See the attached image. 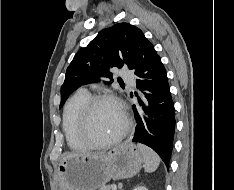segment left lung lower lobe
<instances>
[{"label": "left lung lower lobe", "instance_id": "obj_1", "mask_svg": "<svg viewBox=\"0 0 234 190\" xmlns=\"http://www.w3.org/2000/svg\"><path fill=\"white\" fill-rule=\"evenodd\" d=\"M131 70L142 93L139 106L133 105L137 122L133 142L151 147L169 168L175 130V109L164 65L153 45L145 39ZM131 97L133 94L131 93Z\"/></svg>", "mask_w": 234, "mask_h": 190}]
</instances>
